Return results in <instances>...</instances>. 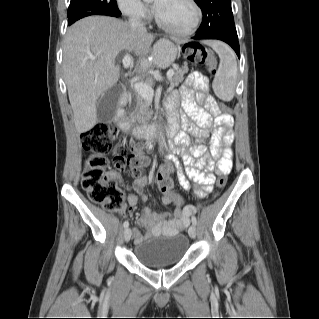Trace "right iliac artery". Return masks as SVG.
Returning <instances> with one entry per match:
<instances>
[{"instance_id": "right-iliac-artery-1", "label": "right iliac artery", "mask_w": 319, "mask_h": 319, "mask_svg": "<svg viewBox=\"0 0 319 319\" xmlns=\"http://www.w3.org/2000/svg\"><path fill=\"white\" fill-rule=\"evenodd\" d=\"M124 228H127L129 226V223L128 221H125L124 224H123Z\"/></svg>"}]
</instances>
